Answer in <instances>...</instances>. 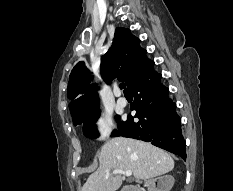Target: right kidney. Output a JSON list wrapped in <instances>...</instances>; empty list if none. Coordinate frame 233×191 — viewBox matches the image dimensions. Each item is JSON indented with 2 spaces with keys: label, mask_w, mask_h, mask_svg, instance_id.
I'll list each match as a JSON object with an SVG mask.
<instances>
[{
  "label": "right kidney",
  "mask_w": 233,
  "mask_h": 191,
  "mask_svg": "<svg viewBox=\"0 0 233 191\" xmlns=\"http://www.w3.org/2000/svg\"><path fill=\"white\" fill-rule=\"evenodd\" d=\"M157 181V185L155 184ZM174 185V177L171 175H164L150 181L149 186L153 191H170Z\"/></svg>",
  "instance_id": "1"
}]
</instances>
